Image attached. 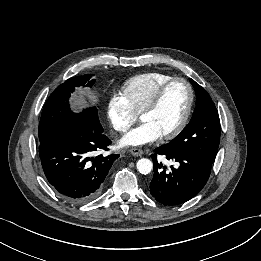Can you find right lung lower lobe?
Returning <instances> with one entry per match:
<instances>
[{
  "label": "right lung lower lobe",
  "mask_w": 261,
  "mask_h": 261,
  "mask_svg": "<svg viewBox=\"0 0 261 261\" xmlns=\"http://www.w3.org/2000/svg\"><path fill=\"white\" fill-rule=\"evenodd\" d=\"M111 140L102 129L80 126L52 141L40 144L39 155L48 182L60 197L86 202L100 191L118 154L91 157L108 150Z\"/></svg>",
  "instance_id": "1"
}]
</instances>
